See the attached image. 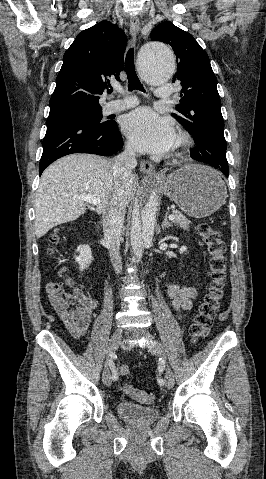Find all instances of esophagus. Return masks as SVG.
Wrapping results in <instances>:
<instances>
[{
	"instance_id": "esophagus-1",
	"label": "esophagus",
	"mask_w": 266,
	"mask_h": 479,
	"mask_svg": "<svg viewBox=\"0 0 266 479\" xmlns=\"http://www.w3.org/2000/svg\"><path fill=\"white\" fill-rule=\"evenodd\" d=\"M129 27L133 41L135 42L140 30V22L136 15H132L130 17ZM140 171L148 176H152L156 179H161V176L156 173L155 167L148 161H140Z\"/></svg>"
}]
</instances>
